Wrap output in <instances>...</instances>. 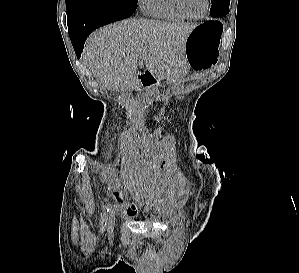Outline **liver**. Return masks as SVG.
Returning a JSON list of instances; mask_svg holds the SVG:
<instances>
[{
    "mask_svg": "<svg viewBox=\"0 0 299 273\" xmlns=\"http://www.w3.org/2000/svg\"><path fill=\"white\" fill-rule=\"evenodd\" d=\"M199 24L127 19L95 31L83 59L103 85L116 91L136 88L138 66L158 78L181 76L188 69L185 43Z\"/></svg>",
    "mask_w": 299,
    "mask_h": 273,
    "instance_id": "6515ba94",
    "label": "liver"
}]
</instances>
